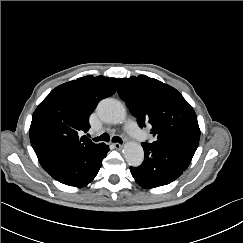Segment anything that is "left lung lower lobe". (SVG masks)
<instances>
[{"instance_id": "0a47b994", "label": "left lung lower lobe", "mask_w": 243, "mask_h": 243, "mask_svg": "<svg viewBox=\"0 0 243 243\" xmlns=\"http://www.w3.org/2000/svg\"><path fill=\"white\" fill-rule=\"evenodd\" d=\"M144 161L139 167H130L135 181L144 188H155L177 179L190 164L194 150L154 147L142 144Z\"/></svg>"}]
</instances>
